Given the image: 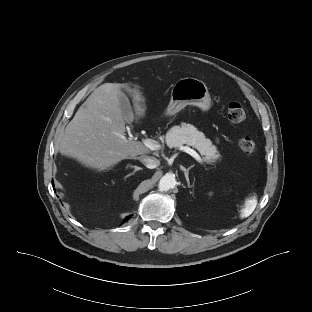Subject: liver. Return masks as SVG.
Here are the masks:
<instances>
[{
    "label": "liver",
    "instance_id": "1",
    "mask_svg": "<svg viewBox=\"0 0 312 312\" xmlns=\"http://www.w3.org/2000/svg\"><path fill=\"white\" fill-rule=\"evenodd\" d=\"M125 89L136 104L138 117L145 115V108L138 106L144 97L136 86L128 84L105 83L96 88L80 106L74 118L67 124L59 144L62 155L76 159L85 167L105 171L129 157L149 154L141 142L124 136L125 121L120 107V95Z\"/></svg>",
    "mask_w": 312,
    "mask_h": 312
}]
</instances>
